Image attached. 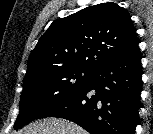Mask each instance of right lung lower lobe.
Masks as SVG:
<instances>
[{
  "label": "right lung lower lobe",
  "mask_w": 153,
  "mask_h": 134,
  "mask_svg": "<svg viewBox=\"0 0 153 134\" xmlns=\"http://www.w3.org/2000/svg\"><path fill=\"white\" fill-rule=\"evenodd\" d=\"M141 58L136 46L104 62L81 89L39 119H67L90 134H135L141 107Z\"/></svg>",
  "instance_id": "right-lung-lower-lobe-1"
}]
</instances>
